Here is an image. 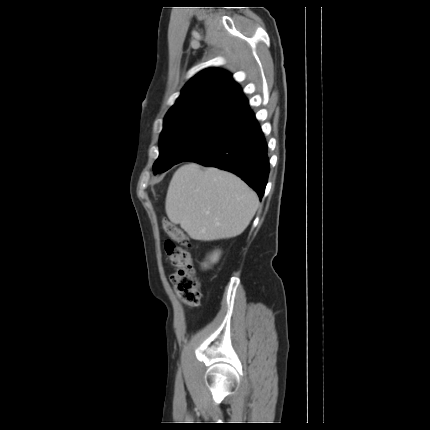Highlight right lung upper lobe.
I'll list each match as a JSON object with an SVG mask.
<instances>
[{"label": "right lung upper lobe", "instance_id": "obj_1", "mask_svg": "<svg viewBox=\"0 0 430 430\" xmlns=\"http://www.w3.org/2000/svg\"><path fill=\"white\" fill-rule=\"evenodd\" d=\"M215 101L231 106L240 117L250 110L247 99L231 74L222 69L208 68L196 74L184 86L180 97L167 114Z\"/></svg>", "mask_w": 430, "mask_h": 430}]
</instances>
